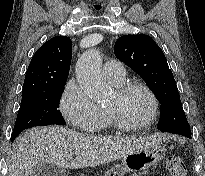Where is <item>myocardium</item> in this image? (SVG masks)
Masks as SVG:
<instances>
[{
    "label": "myocardium",
    "mask_w": 205,
    "mask_h": 176,
    "mask_svg": "<svg viewBox=\"0 0 205 176\" xmlns=\"http://www.w3.org/2000/svg\"><path fill=\"white\" fill-rule=\"evenodd\" d=\"M135 90H141L144 93L147 94V96L149 97L150 101H151V105H152V110H151V114L148 117V119H146L145 121L138 123V124H130L125 122L122 117L120 116V114L118 113V111L114 108H107V111L112 119V122L114 124V126L121 131H136V130H141L144 128H147L149 126H151L157 119L158 114H159V102H158V98L156 96V94L153 92V90L148 87L146 84L141 83V82H130V83H126L121 85L120 87L117 88V95L120 97H123Z\"/></svg>",
    "instance_id": "f54148a6"
}]
</instances>
